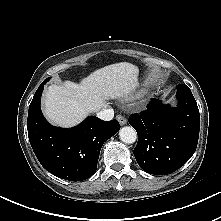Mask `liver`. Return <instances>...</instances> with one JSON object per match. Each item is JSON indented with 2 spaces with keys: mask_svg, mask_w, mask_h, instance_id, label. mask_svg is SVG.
<instances>
[{
  "mask_svg": "<svg viewBox=\"0 0 221 221\" xmlns=\"http://www.w3.org/2000/svg\"><path fill=\"white\" fill-rule=\"evenodd\" d=\"M138 85V68L127 62L95 70L80 83L65 81L48 87L44 114L55 125L72 127L90 113L108 106L109 100L128 96Z\"/></svg>",
  "mask_w": 221,
  "mask_h": 221,
  "instance_id": "obj_1",
  "label": "liver"
}]
</instances>
